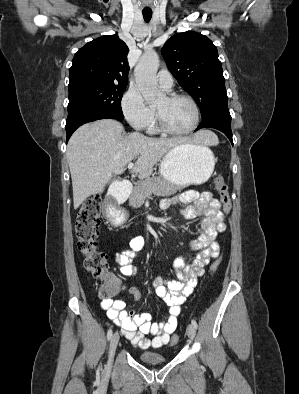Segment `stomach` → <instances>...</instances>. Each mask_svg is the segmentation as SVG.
<instances>
[{
    "mask_svg": "<svg viewBox=\"0 0 299 394\" xmlns=\"http://www.w3.org/2000/svg\"><path fill=\"white\" fill-rule=\"evenodd\" d=\"M212 151L198 144L181 143L171 148L159 165L162 179L178 186L200 185L213 173Z\"/></svg>",
    "mask_w": 299,
    "mask_h": 394,
    "instance_id": "1",
    "label": "stomach"
}]
</instances>
